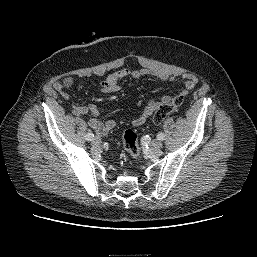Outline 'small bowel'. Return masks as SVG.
<instances>
[{
    "label": "small bowel",
    "mask_w": 257,
    "mask_h": 257,
    "mask_svg": "<svg viewBox=\"0 0 257 257\" xmlns=\"http://www.w3.org/2000/svg\"><path fill=\"white\" fill-rule=\"evenodd\" d=\"M145 75H153L159 78L161 81H170L175 82L180 80L183 84V90L179 93L181 96L185 97L190 93L196 86V78L192 74H182L177 77L171 75L164 70H154L148 68L141 69H128L123 68L117 70L106 77L105 80L101 82V90L104 93H114L120 90V83L126 77H131L134 80H137ZM73 78L65 77L61 81L54 84V88L61 92L63 95H66L64 89L69 88L73 85ZM171 96L164 95L160 99H151L145 106L143 112L139 117L133 120L134 126L143 125L146 120L157 110V108L171 100ZM74 114L76 116H85L91 114L92 117L88 120L89 126L98 134L105 135L110 132L116 125L114 120L101 121L99 119V108L95 104H90L89 106L78 105L74 109Z\"/></svg>",
    "instance_id": "obj_1"
}]
</instances>
